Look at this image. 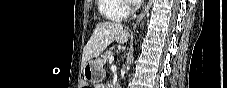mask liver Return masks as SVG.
I'll return each instance as SVG.
<instances>
[{"label": "liver", "instance_id": "1", "mask_svg": "<svg viewBox=\"0 0 227 88\" xmlns=\"http://www.w3.org/2000/svg\"><path fill=\"white\" fill-rule=\"evenodd\" d=\"M130 34L117 22L98 23L83 50L82 62L85 65L94 57H98L113 41L124 44Z\"/></svg>", "mask_w": 227, "mask_h": 88}]
</instances>
